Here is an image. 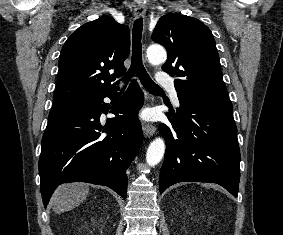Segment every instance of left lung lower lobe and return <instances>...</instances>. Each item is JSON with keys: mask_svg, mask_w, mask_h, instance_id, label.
<instances>
[{"mask_svg": "<svg viewBox=\"0 0 283 235\" xmlns=\"http://www.w3.org/2000/svg\"><path fill=\"white\" fill-rule=\"evenodd\" d=\"M180 108L166 113L173 128L160 124L166 151L159 188L183 181L217 183L237 197L240 149L231 102L205 101L179 94Z\"/></svg>", "mask_w": 283, "mask_h": 235, "instance_id": "1", "label": "left lung lower lobe"}]
</instances>
